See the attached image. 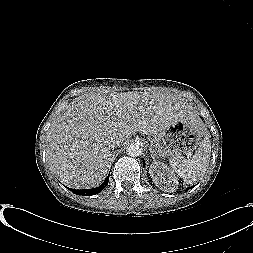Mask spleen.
I'll list each match as a JSON object with an SVG mask.
<instances>
[{
	"mask_svg": "<svg viewBox=\"0 0 253 253\" xmlns=\"http://www.w3.org/2000/svg\"><path fill=\"white\" fill-rule=\"evenodd\" d=\"M201 129L204 133V138L191 159L176 157L169 161L172 170L190 184L196 182L205 174L210 161L211 143L208 137L209 132L204 128L203 123L201 124Z\"/></svg>",
	"mask_w": 253,
	"mask_h": 253,
	"instance_id": "spleen-1",
	"label": "spleen"
}]
</instances>
